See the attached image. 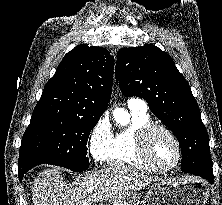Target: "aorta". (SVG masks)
Returning <instances> with one entry per match:
<instances>
[{
	"mask_svg": "<svg viewBox=\"0 0 222 205\" xmlns=\"http://www.w3.org/2000/svg\"><path fill=\"white\" fill-rule=\"evenodd\" d=\"M115 120L124 125L129 122V114L122 108H116L113 112Z\"/></svg>",
	"mask_w": 222,
	"mask_h": 205,
	"instance_id": "1",
	"label": "aorta"
}]
</instances>
